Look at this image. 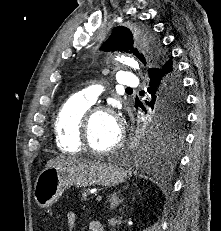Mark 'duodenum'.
<instances>
[{"label":"duodenum","mask_w":221,"mask_h":231,"mask_svg":"<svg viewBox=\"0 0 221 231\" xmlns=\"http://www.w3.org/2000/svg\"><path fill=\"white\" fill-rule=\"evenodd\" d=\"M91 231H103V229L96 225L94 222L92 223L91 227H90Z\"/></svg>","instance_id":"410a0bca"}]
</instances>
